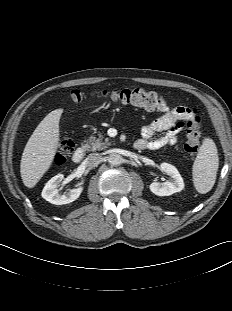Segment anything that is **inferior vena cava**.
Instances as JSON below:
<instances>
[{
	"instance_id": "obj_1",
	"label": "inferior vena cava",
	"mask_w": 232,
	"mask_h": 311,
	"mask_svg": "<svg viewBox=\"0 0 232 311\" xmlns=\"http://www.w3.org/2000/svg\"><path fill=\"white\" fill-rule=\"evenodd\" d=\"M101 161V155L98 153H92L86 158V162L89 166L97 165Z\"/></svg>"
}]
</instances>
